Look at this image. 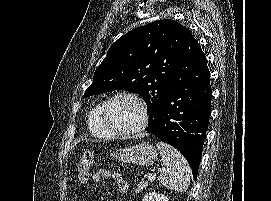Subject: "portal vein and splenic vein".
I'll return each mask as SVG.
<instances>
[{"label": "portal vein and splenic vein", "instance_id": "18ae733b", "mask_svg": "<svg viewBox=\"0 0 271 201\" xmlns=\"http://www.w3.org/2000/svg\"><path fill=\"white\" fill-rule=\"evenodd\" d=\"M155 179V175H150L149 176V181H153Z\"/></svg>", "mask_w": 271, "mask_h": 201}]
</instances>
